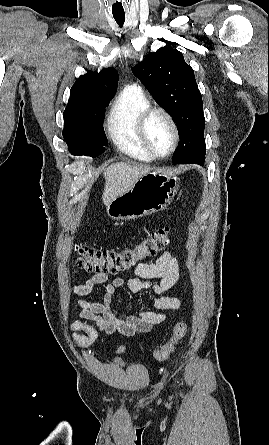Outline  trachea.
Instances as JSON below:
<instances>
[{"label":"trachea","instance_id":"1","mask_svg":"<svg viewBox=\"0 0 269 445\" xmlns=\"http://www.w3.org/2000/svg\"><path fill=\"white\" fill-rule=\"evenodd\" d=\"M115 21L117 22V24L122 27L125 21V15H113Z\"/></svg>","mask_w":269,"mask_h":445}]
</instances>
